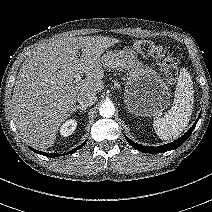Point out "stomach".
<instances>
[{
	"instance_id": "0dacf381",
	"label": "stomach",
	"mask_w": 212,
	"mask_h": 212,
	"mask_svg": "<svg viewBox=\"0 0 212 212\" xmlns=\"http://www.w3.org/2000/svg\"><path fill=\"white\" fill-rule=\"evenodd\" d=\"M105 68L126 71L124 103L134 116L161 114L170 104L169 85L153 68L139 61L132 48L108 50L102 57Z\"/></svg>"
}]
</instances>
